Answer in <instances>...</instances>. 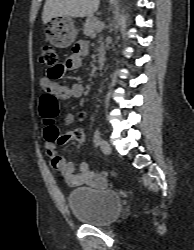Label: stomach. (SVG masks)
Here are the masks:
<instances>
[{"instance_id":"stomach-1","label":"stomach","mask_w":194,"mask_h":250,"mask_svg":"<svg viewBox=\"0 0 194 250\" xmlns=\"http://www.w3.org/2000/svg\"><path fill=\"white\" fill-rule=\"evenodd\" d=\"M47 39L58 48L69 47L76 39L78 29L69 16L54 17L47 24Z\"/></svg>"}]
</instances>
